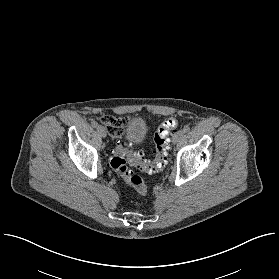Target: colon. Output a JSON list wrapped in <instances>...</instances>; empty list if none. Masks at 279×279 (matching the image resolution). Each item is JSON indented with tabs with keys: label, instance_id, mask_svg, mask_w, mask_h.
Returning a JSON list of instances; mask_svg holds the SVG:
<instances>
[{
	"label": "colon",
	"instance_id": "colon-1",
	"mask_svg": "<svg viewBox=\"0 0 279 279\" xmlns=\"http://www.w3.org/2000/svg\"><path fill=\"white\" fill-rule=\"evenodd\" d=\"M118 125V121L113 122ZM178 127V121L170 118L163 121L154 134L155 162L150 163L143 159V153L135 151L130 144L123 140H118L114 150L110 165L112 169L124 180V182L134 188L140 194H146L148 185L146 181L133 175L128 164L138 168L142 172L154 174L160 171L167 160L168 155V136Z\"/></svg>",
	"mask_w": 279,
	"mask_h": 279
}]
</instances>
